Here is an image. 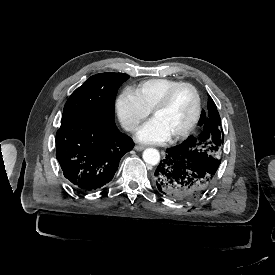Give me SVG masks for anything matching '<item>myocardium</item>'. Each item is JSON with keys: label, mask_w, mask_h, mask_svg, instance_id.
<instances>
[{"label": "myocardium", "mask_w": 275, "mask_h": 275, "mask_svg": "<svg viewBox=\"0 0 275 275\" xmlns=\"http://www.w3.org/2000/svg\"><path fill=\"white\" fill-rule=\"evenodd\" d=\"M182 86H187L189 88H191V90L194 93L195 96V100H196V108H195V113L193 115V118L191 119V121L189 122V124L182 129L181 131L169 136V140L173 141V140H178L181 139L187 135L190 134V132L194 129V127L196 126V124L198 123L200 116H201V111H202V102H201V96L199 93V90L197 89V87L192 84L191 82H187V81H183V82H177L176 84L170 86L162 95V97L159 99V101L156 103V105L153 107L151 114H152V118L154 117V115L161 111L162 109H164L173 93L180 87Z\"/></svg>", "instance_id": "obj_1"}]
</instances>
